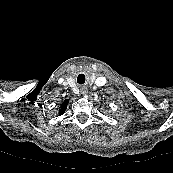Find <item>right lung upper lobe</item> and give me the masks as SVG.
I'll list each match as a JSON object with an SVG mask.
<instances>
[{"label": "right lung upper lobe", "instance_id": "right-lung-upper-lobe-1", "mask_svg": "<svg viewBox=\"0 0 173 173\" xmlns=\"http://www.w3.org/2000/svg\"><path fill=\"white\" fill-rule=\"evenodd\" d=\"M69 101L66 99L60 106L59 113L62 115L64 111L66 110V107L68 105Z\"/></svg>", "mask_w": 173, "mask_h": 173}]
</instances>
